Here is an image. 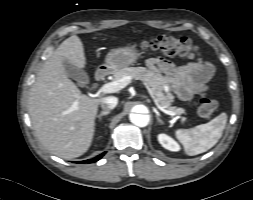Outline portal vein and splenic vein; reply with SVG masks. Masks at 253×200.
<instances>
[{"label": "portal vein and splenic vein", "mask_w": 253, "mask_h": 200, "mask_svg": "<svg viewBox=\"0 0 253 200\" xmlns=\"http://www.w3.org/2000/svg\"><path fill=\"white\" fill-rule=\"evenodd\" d=\"M130 80H131L130 76H125V77H123V78H121L119 80L109 82V83L104 84L103 86H101L100 89H99V92L100 93H115V92H118L121 89H123L125 86H127V84L130 83ZM144 85L146 86V88H147L150 96L152 97L155 105L157 106V108L159 110H161L162 112H164L165 114L170 115V116H175L176 115L175 112L163 108L158 103V101L155 98V96H154L151 88L147 85V83L144 82ZM74 107H76V103H75Z\"/></svg>", "instance_id": "1"}]
</instances>
